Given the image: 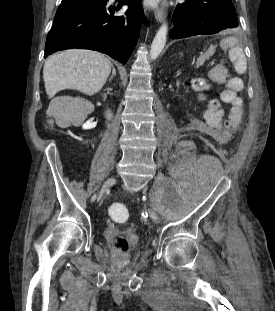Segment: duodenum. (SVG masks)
<instances>
[{
	"instance_id": "duodenum-1",
	"label": "duodenum",
	"mask_w": 275,
	"mask_h": 311,
	"mask_svg": "<svg viewBox=\"0 0 275 311\" xmlns=\"http://www.w3.org/2000/svg\"><path fill=\"white\" fill-rule=\"evenodd\" d=\"M107 115H108V116L111 115V111H110V110L107 111Z\"/></svg>"
}]
</instances>
